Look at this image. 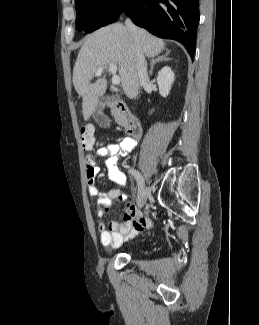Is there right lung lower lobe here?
Wrapping results in <instances>:
<instances>
[{
  "instance_id": "1",
  "label": "right lung lower lobe",
  "mask_w": 259,
  "mask_h": 325,
  "mask_svg": "<svg viewBox=\"0 0 259 325\" xmlns=\"http://www.w3.org/2000/svg\"><path fill=\"white\" fill-rule=\"evenodd\" d=\"M123 12L152 34L179 41L193 57L199 0H127Z\"/></svg>"
}]
</instances>
